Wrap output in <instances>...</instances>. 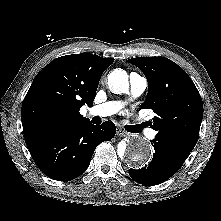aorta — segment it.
Here are the masks:
<instances>
[{
	"instance_id": "aorta-1",
	"label": "aorta",
	"mask_w": 221,
	"mask_h": 221,
	"mask_svg": "<svg viewBox=\"0 0 221 221\" xmlns=\"http://www.w3.org/2000/svg\"><path fill=\"white\" fill-rule=\"evenodd\" d=\"M108 86L112 93H125L129 88L128 74L123 69H115L108 75ZM119 156L130 166L142 167L151 158V147L148 140L134 135L118 145Z\"/></svg>"
}]
</instances>
